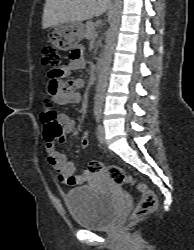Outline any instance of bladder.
<instances>
[{
  "mask_svg": "<svg viewBox=\"0 0 194 250\" xmlns=\"http://www.w3.org/2000/svg\"><path fill=\"white\" fill-rule=\"evenodd\" d=\"M66 206L74 222L86 229L110 227L119 212V199L92 186H79L65 194Z\"/></svg>",
  "mask_w": 194,
  "mask_h": 250,
  "instance_id": "31cf9c89",
  "label": "bladder"
}]
</instances>
